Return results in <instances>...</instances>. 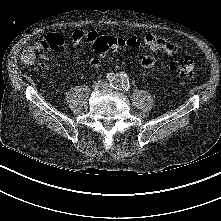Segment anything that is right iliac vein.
<instances>
[{
	"mask_svg": "<svg viewBox=\"0 0 221 221\" xmlns=\"http://www.w3.org/2000/svg\"><path fill=\"white\" fill-rule=\"evenodd\" d=\"M106 85V83L102 80H97L95 81L93 84H92V88L94 90H98V89H101V88H104Z\"/></svg>",
	"mask_w": 221,
	"mask_h": 221,
	"instance_id": "right-iliac-vein-1",
	"label": "right iliac vein"
}]
</instances>
